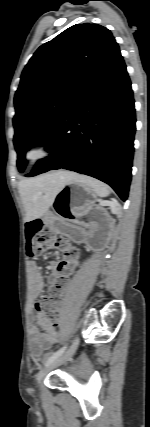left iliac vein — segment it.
I'll use <instances>...</instances> for the list:
<instances>
[{"instance_id":"obj_1","label":"left iliac vein","mask_w":150,"mask_h":427,"mask_svg":"<svg viewBox=\"0 0 150 427\" xmlns=\"http://www.w3.org/2000/svg\"><path fill=\"white\" fill-rule=\"evenodd\" d=\"M79 345V338L76 337L73 341V343L71 344V346L69 347V349L62 354L61 356H59L57 359H55L53 362L49 363L48 365H46L38 374V383L40 384L41 381L44 379V377L54 368H56L57 366L67 362L76 352L77 347Z\"/></svg>"}]
</instances>
